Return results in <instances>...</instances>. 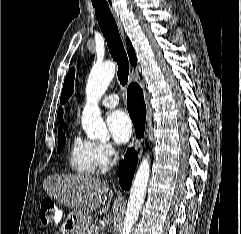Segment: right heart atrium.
Returning <instances> with one entry per match:
<instances>
[{
	"label": "right heart atrium",
	"mask_w": 241,
	"mask_h": 234,
	"mask_svg": "<svg viewBox=\"0 0 241 234\" xmlns=\"http://www.w3.org/2000/svg\"><path fill=\"white\" fill-rule=\"evenodd\" d=\"M96 152L100 170L107 168L116 154L115 147L110 142H96Z\"/></svg>",
	"instance_id": "right-heart-atrium-1"
}]
</instances>
